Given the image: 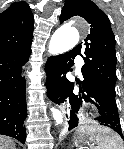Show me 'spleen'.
Returning <instances> with one entry per match:
<instances>
[{"label":"spleen","instance_id":"1","mask_svg":"<svg viewBox=\"0 0 124 149\" xmlns=\"http://www.w3.org/2000/svg\"><path fill=\"white\" fill-rule=\"evenodd\" d=\"M82 128H85V127H82ZM94 139L98 143L100 149H120V145H119L120 140L118 136L110 137V136H107L106 134L105 135L97 134L94 136Z\"/></svg>","mask_w":124,"mask_h":149}]
</instances>
